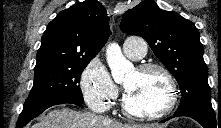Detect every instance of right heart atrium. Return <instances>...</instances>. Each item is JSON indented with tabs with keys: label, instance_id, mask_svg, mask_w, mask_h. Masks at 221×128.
Here are the masks:
<instances>
[{
	"label": "right heart atrium",
	"instance_id": "obj_1",
	"mask_svg": "<svg viewBox=\"0 0 221 128\" xmlns=\"http://www.w3.org/2000/svg\"><path fill=\"white\" fill-rule=\"evenodd\" d=\"M81 89L86 103L92 109L107 106L113 100L116 87L104 61L93 57L81 75Z\"/></svg>",
	"mask_w": 221,
	"mask_h": 128
}]
</instances>
